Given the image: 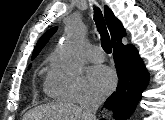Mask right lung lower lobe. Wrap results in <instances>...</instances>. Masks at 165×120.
<instances>
[{
  "mask_svg": "<svg viewBox=\"0 0 165 120\" xmlns=\"http://www.w3.org/2000/svg\"><path fill=\"white\" fill-rule=\"evenodd\" d=\"M112 46L119 82L105 106L114 111L116 118L125 120L134 112L148 84L149 73L134 46L124 45L123 41Z\"/></svg>",
  "mask_w": 165,
  "mask_h": 120,
  "instance_id": "obj_1",
  "label": "right lung lower lobe"
}]
</instances>
